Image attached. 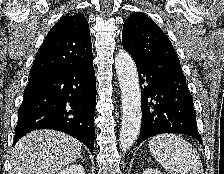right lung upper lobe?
<instances>
[{"label": "right lung upper lobe", "instance_id": "obj_1", "mask_svg": "<svg viewBox=\"0 0 224 174\" xmlns=\"http://www.w3.org/2000/svg\"><path fill=\"white\" fill-rule=\"evenodd\" d=\"M92 59L88 21L83 14L62 17L39 48L30 75Z\"/></svg>", "mask_w": 224, "mask_h": 174}]
</instances>
